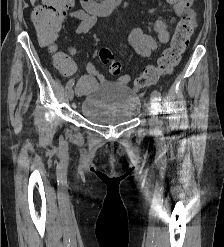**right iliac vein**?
<instances>
[{"label": "right iliac vein", "instance_id": "right-iliac-vein-1", "mask_svg": "<svg viewBox=\"0 0 224 247\" xmlns=\"http://www.w3.org/2000/svg\"><path fill=\"white\" fill-rule=\"evenodd\" d=\"M68 99L71 101L74 97V90L70 88L67 93Z\"/></svg>", "mask_w": 224, "mask_h": 247}]
</instances>
